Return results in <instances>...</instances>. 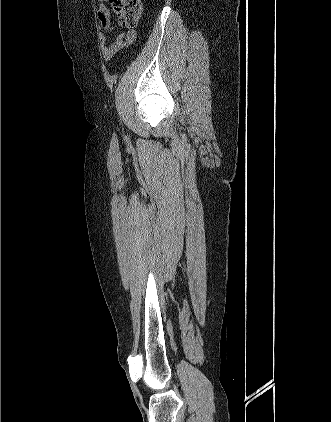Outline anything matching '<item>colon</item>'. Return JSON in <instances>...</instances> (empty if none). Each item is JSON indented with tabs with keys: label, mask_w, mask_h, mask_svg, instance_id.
Returning a JSON list of instances; mask_svg holds the SVG:
<instances>
[{
	"label": "colon",
	"mask_w": 331,
	"mask_h": 422,
	"mask_svg": "<svg viewBox=\"0 0 331 422\" xmlns=\"http://www.w3.org/2000/svg\"><path fill=\"white\" fill-rule=\"evenodd\" d=\"M108 2L123 26L132 28L137 24L142 14L141 0H108Z\"/></svg>",
	"instance_id": "1"
}]
</instances>
